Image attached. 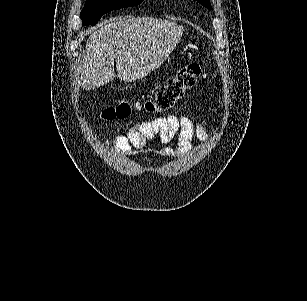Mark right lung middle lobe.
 <instances>
[{
    "label": "right lung middle lobe",
    "mask_w": 307,
    "mask_h": 301,
    "mask_svg": "<svg viewBox=\"0 0 307 301\" xmlns=\"http://www.w3.org/2000/svg\"><path fill=\"white\" fill-rule=\"evenodd\" d=\"M143 0H86L80 13L82 25H95L109 11L136 6Z\"/></svg>",
    "instance_id": "1"
}]
</instances>
